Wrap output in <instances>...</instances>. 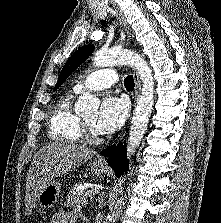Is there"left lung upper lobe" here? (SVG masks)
I'll use <instances>...</instances> for the list:
<instances>
[{
  "label": "left lung upper lobe",
  "instance_id": "obj_1",
  "mask_svg": "<svg viewBox=\"0 0 221 223\" xmlns=\"http://www.w3.org/2000/svg\"><path fill=\"white\" fill-rule=\"evenodd\" d=\"M93 45H85L79 48L66 62L64 65L58 81L54 87V91L59 88L63 82L68 78V76L78 67L82 62H84L93 52Z\"/></svg>",
  "mask_w": 221,
  "mask_h": 223
}]
</instances>
